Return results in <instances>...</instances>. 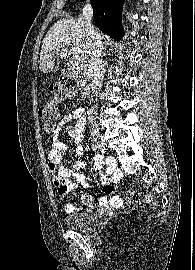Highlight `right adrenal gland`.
<instances>
[{
  "instance_id": "2a0ac1e0",
  "label": "right adrenal gland",
  "mask_w": 195,
  "mask_h": 270,
  "mask_svg": "<svg viewBox=\"0 0 195 270\" xmlns=\"http://www.w3.org/2000/svg\"><path fill=\"white\" fill-rule=\"evenodd\" d=\"M103 55H104V56L106 55V48H104V52H103Z\"/></svg>"
}]
</instances>
